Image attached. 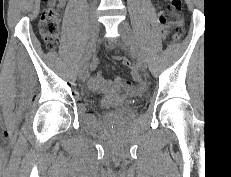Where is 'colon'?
Wrapping results in <instances>:
<instances>
[{"mask_svg": "<svg viewBox=\"0 0 231 177\" xmlns=\"http://www.w3.org/2000/svg\"><path fill=\"white\" fill-rule=\"evenodd\" d=\"M58 0H43V2L48 4V7L43 11L40 21L39 29L42 39L48 49L53 50L57 43L59 37V26L60 18L56 9L53 7ZM168 9L175 15L179 14L181 10V0H166ZM160 22L165 23V18L163 15L160 16ZM181 35V29L179 26L175 30V39H178ZM116 60L126 67L130 66V60L126 57H115Z\"/></svg>", "mask_w": 231, "mask_h": 177, "instance_id": "obj_1", "label": "colon"}]
</instances>
